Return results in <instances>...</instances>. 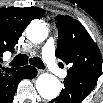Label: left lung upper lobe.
<instances>
[{
  "mask_svg": "<svg viewBox=\"0 0 103 103\" xmlns=\"http://www.w3.org/2000/svg\"><path fill=\"white\" fill-rule=\"evenodd\" d=\"M56 56L70 65L68 76L98 78L102 75L100 51L84 26L70 16L57 15Z\"/></svg>",
  "mask_w": 103,
  "mask_h": 103,
  "instance_id": "5c2ea615",
  "label": "left lung upper lobe"
}]
</instances>
